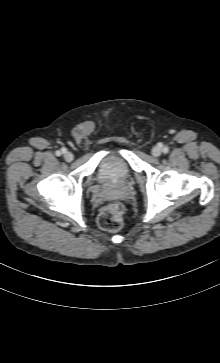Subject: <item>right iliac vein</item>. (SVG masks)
<instances>
[{
    "label": "right iliac vein",
    "mask_w": 220,
    "mask_h": 363,
    "mask_svg": "<svg viewBox=\"0 0 220 363\" xmlns=\"http://www.w3.org/2000/svg\"><path fill=\"white\" fill-rule=\"evenodd\" d=\"M64 159L67 162H71L74 159V155L71 152L67 151L64 153Z\"/></svg>",
    "instance_id": "1"
}]
</instances>
